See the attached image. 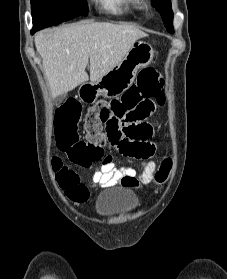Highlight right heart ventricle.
Segmentation results:
<instances>
[{
    "label": "right heart ventricle",
    "instance_id": "right-heart-ventricle-1",
    "mask_svg": "<svg viewBox=\"0 0 227 279\" xmlns=\"http://www.w3.org/2000/svg\"><path fill=\"white\" fill-rule=\"evenodd\" d=\"M102 8L113 15H128L141 10V0H98Z\"/></svg>",
    "mask_w": 227,
    "mask_h": 279
}]
</instances>
